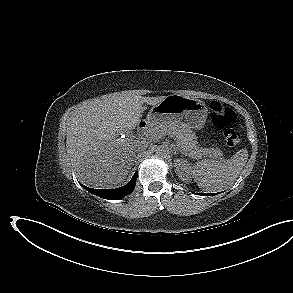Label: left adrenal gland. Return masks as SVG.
Listing matches in <instances>:
<instances>
[{"label": "left adrenal gland", "mask_w": 293, "mask_h": 293, "mask_svg": "<svg viewBox=\"0 0 293 293\" xmlns=\"http://www.w3.org/2000/svg\"><path fill=\"white\" fill-rule=\"evenodd\" d=\"M180 149H178L177 147H173V151H174V155L179 151ZM181 151V150H180Z\"/></svg>", "instance_id": "a2214340"}]
</instances>
